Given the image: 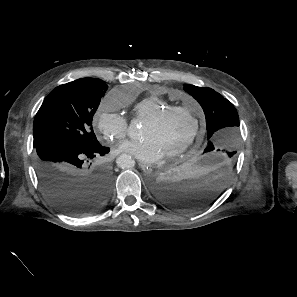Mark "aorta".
Returning <instances> with one entry per match:
<instances>
[{"mask_svg":"<svg viewBox=\"0 0 297 297\" xmlns=\"http://www.w3.org/2000/svg\"><path fill=\"white\" fill-rule=\"evenodd\" d=\"M128 136L131 139H137L139 137V130L137 127V122L135 120H132L128 127ZM116 163L118 167L122 169H126V168H132L135 162L131 158V156L124 154L117 158Z\"/></svg>","mask_w":297,"mask_h":297,"instance_id":"aorta-1","label":"aorta"}]
</instances>
